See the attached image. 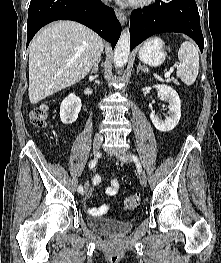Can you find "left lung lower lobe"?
Wrapping results in <instances>:
<instances>
[{
	"instance_id": "obj_1",
	"label": "left lung lower lobe",
	"mask_w": 221,
	"mask_h": 263,
	"mask_svg": "<svg viewBox=\"0 0 221 263\" xmlns=\"http://www.w3.org/2000/svg\"><path fill=\"white\" fill-rule=\"evenodd\" d=\"M163 32H180L191 37L203 52L204 40L195 0H156L134 10L130 18V50L148 37Z\"/></svg>"
}]
</instances>
